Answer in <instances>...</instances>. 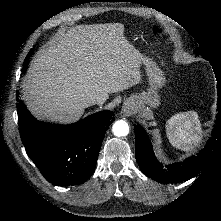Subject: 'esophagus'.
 <instances>
[{
	"mask_svg": "<svg viewBox=\"0 0 221 221\" xmlns=\"http://www.w3.org/2000/svg\"><path fill=\"white\" fill-rule=\"evenodd\" d=\"M122 111L126 116H130V115L134 114L136 112V106H135L134 102L128 101V102L124 103Z\"/></svg>",
	"mask_w": 221,
	"mask_h": 221,
	"instance_id": "1",
	"label": "esophagus"
}]
</instances>
